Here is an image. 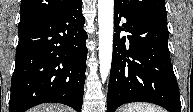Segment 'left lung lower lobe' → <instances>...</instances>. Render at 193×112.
I'll return each mask as SVG.
<instances>
[{
  "label": "left lung lower lobe",
  "mask_w": 193,
  "mask_h": 112,
  "mask_svg": "<svg viewBox=\"0 0 193 112\" xmlns=\"http://www.w3.org/2000/svg\"><path fill=\"white\" fill-rule=\"evenodd\" d=\"M121 17L127 23L119 27ZM115 36L108 86V112L130 102H150L181 112L179 88L168 49L167 14L128 15L114 6ZM130 33L120 37V32Z\"/></svg>",
  "instance_id": "1"
}]
</instances>
